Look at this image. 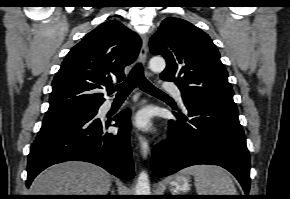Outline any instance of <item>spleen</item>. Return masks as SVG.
Listing matches in <instances>:
<instances>
[{"label": "spleen", "instance_id": "spleen-1", "mask_svg": "<svg viewBox=\"0 0 290 199\" xmlns=\"http://www.w3.org/2000/svg\"><path fill=\"white\" fill-rule=\"evenodd\" d=\"M182 173L194 176L198 195H237L231 177L219 166L195 165Z\"/></svg>", "mask_w": 290, "mask_h": 199}]
</instances>
